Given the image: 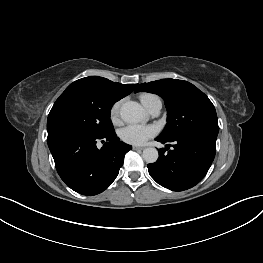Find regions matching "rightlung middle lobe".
I'll use <instances>...</instances> for the list:
<instances>
[{
    "label": "right lung middle lobe",
    "instance_id": "dd1d6c3e",
    "mask_svg": "<svg viewBox=\"0 0 263 263\" xmlns=\"http://www.w3.org/2000/svg\"><path fill=\"white\" fill-rule=\"evenodd\" d=\"M117 100L91 87L69 85L54 103L48 119V137L65 132L106 136L114 133L110 110Z\"/></svg>",
    "mask_w": 263,
    "mask_h": 263
}]
</instances>
